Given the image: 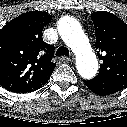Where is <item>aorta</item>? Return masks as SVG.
<instances>
[{
	"mask_svg": "<svg viewBox=\"0 0 127 127\" xmlns=\"http://www.w3.org/2000/svg\"><path fill=\"white\" fill-rule=\"evenodd\" d=\"M58 31L76 55L78 73L85 79L94 77L98 71V61L80 24L74 18L66 16L59 21Z\"/></svg>",
	"mask_w": 127,
	"mask_h": 127,
	"instance_id": "762f6f07",
	"label": "aorta"
}]
</instances>
